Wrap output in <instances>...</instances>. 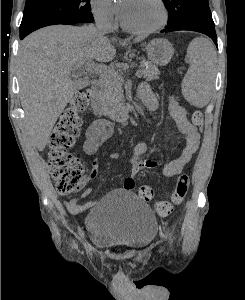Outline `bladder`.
I'll list each match as a JSON object with an SVG mask.
<instances>
[{
	"label": "bladder",
	"instance_id": "31cf9c89",
	"mask_svg": "<svg viewBox=\"0 0 245 300\" xmlns=\"http://www.w3.org/2000/svg\"><path fill=\"white\" fill-rule=\"evenodd\" d=\"M91 242L104 248H141L156 236L152 209L128 190H113L99 199L86 216Z\"/></svg>",
	"mask_w": 245,
	"mask_h": 300
}]
</instances>
